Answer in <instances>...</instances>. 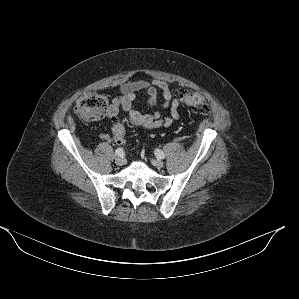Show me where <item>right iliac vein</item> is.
I'll list each match as a JSON object with an SVG mask.
<instances>
[{
    "label": "right iliac vein",
    "mask_w": 299,
    "mask_h": 299,
    "mask_svg": "<svg viewBox=\"0 0 299 299\" xmlns=\"http://www.w3.org/2000/svg\"><path fill=\"white\" fill-rule=\"evenodd\" d=\"M115 163L118 165V166H122L125 164V159L123 157H117L116 160H115Z\"/></svg>",
    "instance_id": "1"
}]
</instances>
